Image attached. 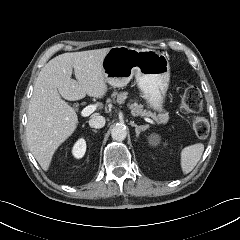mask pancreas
<instances>
[{
    "label": "pancreas",
    "instance_id": "obj_1",
    "mask_svg": "<svg viewBox=\"0 0 240 240\" xmlns=\"http://www.w3.org/2000/svg\"><path fill=\"white\" fill-rule=\"evenodd\" d=\"M127 95H128L127 92H120V93L114 92L112 94V98L113 99L116 98V102L119 104H122L127 98ZM129 107L131 108L132 113L135 114L136 116L151 117L152 119L156 120L159 123H166L169 119L168 114L159 113L158 115H156L155 113H152L151 111L144 109L142 104H138L136 102L133 104H129Z\"/></svg>",
    "mask_w": 240,
    "mask_h": 240
}]
</instances>
